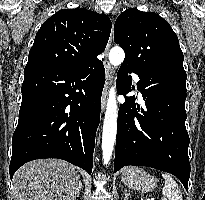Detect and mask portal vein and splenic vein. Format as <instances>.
<instances>
[{
    "mask_svg": "<svg viewBox=\"0 0 205 200\" xmlns=\"http://www.w3.org/2000/svg\"><path fill=\"white\" fill-rule=\"evenodd\" d=\"M146 200H155V199H146ZM162 200H166V199H162Z\"/></svg>",
    "mask_w": 205,
    "mask_h": 200,
    "instance_id": "1",
    "label": "portal vein and splenic vein"
}]
</instances>
